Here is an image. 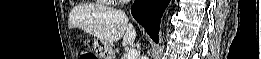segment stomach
Wrapping results in <instances>:
<instances>
[{"mask_svg":"<svg viewBox=\"0 0 261 59\" xmlns=\"http://www.w3.org/2000/svg\"><path fill=\"white\" fill-rule=\"evenodd\" d=\"M94 50L101 59H114L110 43L97 39Z\"/></svg>","mask_w":261,"mask_h":59,"instance_id":"0dacf381","label":"stomach"}]
</instances>
